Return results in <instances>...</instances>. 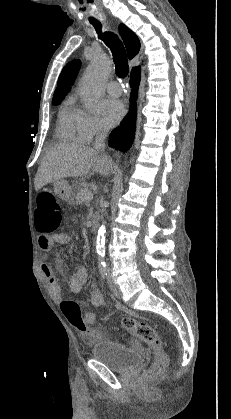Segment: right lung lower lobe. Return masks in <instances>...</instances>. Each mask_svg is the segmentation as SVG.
Masks as SVG:
<instances>
[{
	"mask_svg": "<svg viewBox=\"0 0 231 419\" xmlns=\"http://www.w3.org/2000/svg\"><path fill=\"white\" fill-rule=\"evenodd\" d=\"M140 67L132 70L130 76V84L133 88L130 97L131 110L129 114L120 124V127L115 128L109 136V145L116 149L126 151L130 148L136 128V92L140 83Z\"/></svg>",
	"mask_w": 231,
	"mask_h": 419,
	"instance_id": "obj_1",
	"label": "right lung lower lobe"
}]
</instances>
